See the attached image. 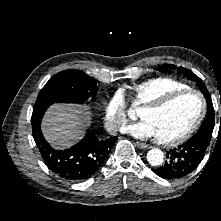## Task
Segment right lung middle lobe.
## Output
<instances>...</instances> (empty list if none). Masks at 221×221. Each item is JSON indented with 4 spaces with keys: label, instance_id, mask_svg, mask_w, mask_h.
<instances>
[{
    "label": "right lung middle lobe",
    "instance_id": "obj_1",
    "mask_svg": "<svg viewBox=\"0 0 221 221\" xmlns=\"http://www.w3.org/2000/svg\"><path fill=\"white\" fill-rule=\"evenodd\" d=\"M97 90L96 79L81 70L70 69L54 75L41 89L36 102L84 103Z\"/></svg>",
    "mask_w": 221,
    "mask_h": 221
}]
</instances>
